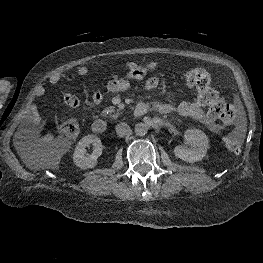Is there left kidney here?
Returning a JSON list of instances; mask_svg holds the SVG:
<instances>
[{"mask_svg":"<svg viewBox=\"0 0 263 263\" xmlns=\"http://www.w3.org/2000/svg\"><path fill=\"white\" fill-rule=\"evenodd\" d=\"M184 138L186 143L194 148L177 145L174 148L175 156L189 163L202 160L209 148L208 136L199 129H188L184 133Z\"/></svg>","mask_w":263,"mask_h":263,"instance_id":"5707ae66","label":"left kidney"}]
</instances>
